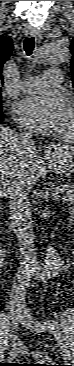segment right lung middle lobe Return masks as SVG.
Here are the masks:
<instances>
[{"instance_id": "obj_1", "label": "right lung middle lobe", "mask_w": 74, "mask_h": 366, "mask_svg": "<svg viewBox=\"0 0 74 366\" xmlns=\"http://www.w3.org/2000/svg\"><path fill=\"white\" fill-rule=\"evenodd\" d=\"M1 97V96H0ZM1 99V98H0ZM0 114H1V107H0Z\"/></svg>"}]
</instances>
